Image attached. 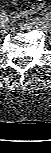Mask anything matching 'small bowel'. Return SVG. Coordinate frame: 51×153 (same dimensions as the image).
<instances>
[{
    "label": "small bowel",
    "mask_w": 51,
    "mask_h": 153,
    "mask_svg": "<svg viewBox=\"0 0 51 153\" xmlns=\"http://www.w3.org/2000/svg\"><path fill=\"white\" fill-rule=\"evenodd\" d=\"M44 7V1L43 0H37L31 5L27 6L23 10L15 13H11L9 15V18L11 21H19L22 20L28 16L34 15L40 10H42Z\"/></svg>",
    "instance_id": "obj_1"
}]
</instances>
